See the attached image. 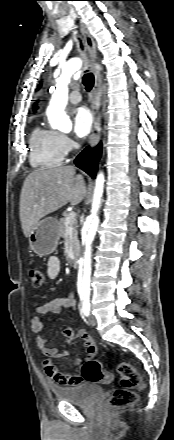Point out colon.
I'll return each mask as SVG.
<instances>
[{
  "mask_svg": "<svg viewBox=\"0 0 174 440\" xmlns=\"http://www.w3.org/2000/svg\"><path fill=\"white\" fill-rule=\"evenodd\" d=\"M29 280L34 286H40L44 282V274L39 267H29L27 270ZM47 364L44 363V369ZM120 375L121 388L116 389L108 399V408L118 410L131 407L138 400L137 391L144 387L141 375L135 367L127 362H120L117 366ZM82 380L90 383H109L112 375L104 371L102 365L93 358L87 359L81 368Z\"/></svg>",
  "mask_w": 174,
  "mask_h": 440,
  "instance_id": "5ec220e1",
  "label": "colon"
}]
</instances>
